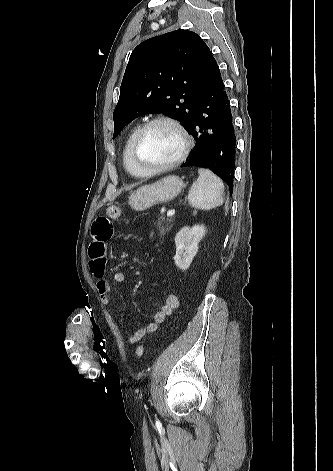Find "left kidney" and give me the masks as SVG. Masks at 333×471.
<instances>
[{
  "mask_svg": "<svg viewBox=\"0 0 333 471\" xmlns=\"http://www.w3.org/2000/svg\"><path fill=\"white\" fill-rule=\"evenodd\" d=\"M205 235L204 225H195L192 228L183 227L175 236L176 254L173 257L175 264L182 270H187L198 252V244Z\"/></svg>",
  "mask_w": 333,
  "mask_h": 471,
  "instance_id": "1",
  "label": "left kidney"
}]
</instances>
